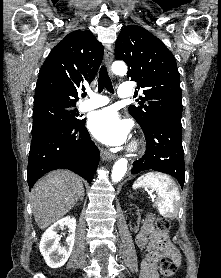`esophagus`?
I'll return each instance as SVG.
<instances>
[{"instance_id": "34e87169", "label": "esophagus", "mask_w": 221, "mask_h": 278, "mask_svg": "<svg viewBox=\"0 0 221 278\" xmlns=\"http://www.w3.org/2000/svg\"><path fill=\"white\" fill-rule=\"evenodd\" d=\"M113 58H114L113 48L111 46L106 47L105 63H106V66L109 71H110V66L112 64ZM101 157L104 161H110V160H114L116 158V155L111 153L110 151L102 148L101 149Z\"/></svg>"}]
</instances>
